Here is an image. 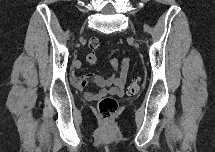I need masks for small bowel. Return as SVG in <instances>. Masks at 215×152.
Instances as JSON below:
<instances>
[{
	"instance_id": "1",
	"label": "small bowel",
	"mask_w": 215,
	"mask_h": 152,
	"mask_svg": "<svg viewBox=\"0 0 215 152\" xmlns=\"http://www.w3.org/2000/svg\"><path fill=\"white\" fill-rule=\"evenodd\" d=\"M110 65L115 71L114 76L103 78L95 73H88L74 78L75 88L83 92L89 101H96L107 94L123 95L130 60L129 58H124L123 61L119 63L116 59H111ZM89 84L97 86L98 91H87L86 88Z\"/></svg>"
}]
</instances>
